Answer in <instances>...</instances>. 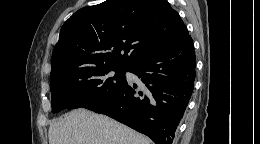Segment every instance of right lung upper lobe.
<instances>
[{"mask_svg": "<svg viewBox=\"0 0 260 144\" xmlns=\"http://www.w3.org/2000/svg\"><path fill=\"white\" fill-rule=\"evenodd\" d=\"M187 36L166 0H106L78 10L63 24L50 77L93 66L128 67Z\"/></svg>", "mask_w": 260, "mask_h": 144, "instance_id": "1", "label": "right lung upper lobe"}]
</instances>
